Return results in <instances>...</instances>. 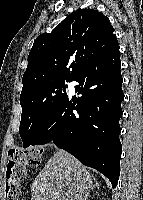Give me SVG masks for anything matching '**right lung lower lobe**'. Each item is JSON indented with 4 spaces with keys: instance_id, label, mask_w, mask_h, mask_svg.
Wrapping results in <instances>:
<instances>
[{
    "instance_id": "98d812e1",
    "label": "right lung lower lobe",
    "mask_w": 143,
    "mask_h": 200,
    "mask_svg": "<svg viewBox=\"0 0 143 200\" xmlns=\"http://www.w3.org/2000/svg\"><path fill=\"white\" fill-rule=\"evenodd\" d=\"M120 68L118 47L83 69L73 79L79 83L75 91L82 96H67L30 144L53 142L104 174L113 188L119 179L122 153L119 119L124 93Z\"/></svg>"
}]
</instances>
